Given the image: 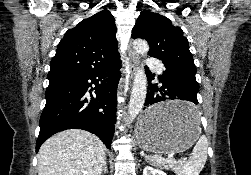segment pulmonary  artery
Here are the masks:
<instances>
[{
    "label": "pulmonary artery",
    "instance_id": "e3ab8cb5",
    "mask_svg": "<svg viewBox=\"0 0 251 175\" xmlns=\"http://www.w3.org/2000/svg\"><path fill=\"white\" fill-rule=\"evenodd\" d=\"M147 62L145 63V66L148 67L150 70H157L158 74H161V70H166V65H161L160 62H157L156 58H150L149 56L147 57Z\"/></svg>",
    "mask_w": 251,
    "mask_h": 175
}]
</instances>
